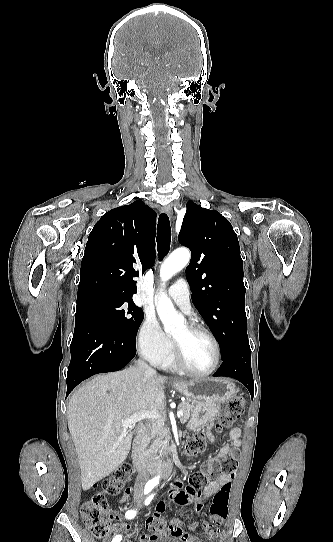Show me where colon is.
Returning a JSON list of instances; mask_svg holds the SVG:
<instances>
[{"instance_id":"5ec220e1","label":"colon","mask_w":333,"mask_h":542,"mask_svg":"<svg viewBox=\"0 0 333 542\" xmlns=\"http://www.w3.org/2000/svg\"><path fill=\"white\" fill-rule=\"evenodd\" d=\"M245 402L241 396L231 399L224 413L216 421L214 428L217 432L225 431L232 427L235 421L244 411ZM205 435L196 433L190 437L184 446V454L187 457L198 456L205 451ZM238 470V462L233 458H225L220 462V471L223 474L234 477ZM133 473V467L129 464L118 466L112 471V475L102 480V491L96 494L92 499L83 502L81 515L85 525L91 534L96 538L108 536L112 530L110 522L113 516L108 512L106 496H116L120 489L129 481ZM210 481L208 473L197 471L190 476V485L199 489ZM231 484L226 483L214 495L209 504L210 519L204 525L205 533L210 537H216L220 533L221 526L227 519L228 503L230 498ZM199 495V494H198ZM156 507L161 512L167 509L168 504L164 500L157 502ZM195 514L201 513L200 507L194 508ZM172 524L178 523L177 517L171 518ZM145 528L147 533L154 532L157 539H165L167 534H171L176 539H187L186 532L179 525H167L166 519L159 514H152L148 517Z\"/></svg>"}]
</instances>
